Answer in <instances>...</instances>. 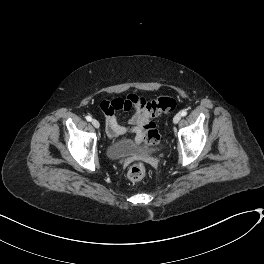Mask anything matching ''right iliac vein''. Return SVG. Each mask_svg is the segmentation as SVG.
Here are the masks:
<instances>
[{"mask_svg": "<svg viewBox=\"0 0 264 264\" xmlns=\"http://www.w3.org/2000/svg\"><path fill=\"white\" fill-rule=\"evenodd\" d=\"M92 125H93L95 128H99V127H100V123H99L96 119H93V120H92Z\"/></svg>", "mask_w": 264, "mask_h": 264, "instance_id": "right-iliac-vein-1", "label": "right iliac vein"}]
</instances>
